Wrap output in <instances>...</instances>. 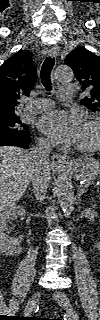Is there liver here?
Segmentation results:
<instances>
[{
	"mask_svg": "<svg viewBox=\"0 0 100 320\" xmlns=\"http://www.w3.org/2000/svg\"><path fill=\"white\" fill-rule=\"evenodd\" d=\"M35 169L30 151L11 146L0 148V207L9 208L23 196ZM50 176V166H48Z\"/></svg>",
	"mask_w": 100,
	"mask_h": 320,
	"instance_id": "obj_1",
	"label": "liver"
}]
</instances>
